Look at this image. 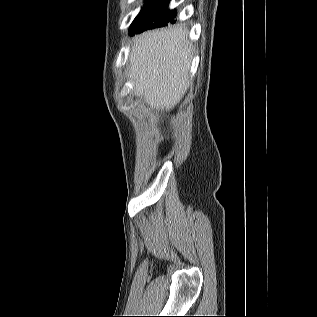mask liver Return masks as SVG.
Here are the masks:
<instances>
[{"label": "liver", "mask_w": 317, "mask_h": 317, "mask_svg": "<svg viewBox=\"0 0 317 317\" xmlns=\"http://www.w3.org/2000/svg\"><path fill=\"white\" fill-rule=\"evenodd\" d=\"M193 47L188 31L169 27L133 39L129 78L134 93L152 109L170 111L189 86Z\"/></svg>", "instance_id": "obj_1"}]
</instances>
